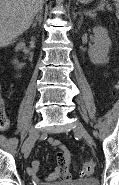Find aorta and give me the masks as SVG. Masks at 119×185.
<instances>
[{"label":"aorta","instance_id":"1","mask_svg":"<svg viewBox=\"0 0 119 185\" xmlns=\"http://www.w3.org/2000/svg\"><path fill=\"white\" fill-rule=\"evenodd\" d=\"M61 2H63V0H56L57 4H60Z\"/></svg>","mask_w":119,"mask_h":185}]
</instances>
